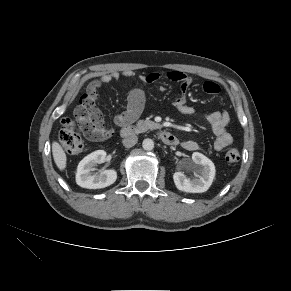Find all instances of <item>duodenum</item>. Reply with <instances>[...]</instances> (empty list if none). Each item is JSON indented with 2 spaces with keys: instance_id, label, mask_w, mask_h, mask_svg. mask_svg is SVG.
Instances as JSON below:
<instances>
[{
  "instance_id": "duodenum-1",
  "label": "duodenum",
  "mask_w": 291,
  "mask_h": 291,
  "mask_svg": "<svg viewBox=\"0 0 291 291\" xmlns=\"http://www.w3.org/2000/svg\"><path fill=\"white\" fill-rule=\"evenodd\" d=\"M138 132V128L131 125V124H125L121 127V136L122 137H129ZM159 138L162 140L163 143L166 145H176L177 144V138L175 135H173L169 131L161 130L158 133Z\"/></svg>"
}]
</instances>
